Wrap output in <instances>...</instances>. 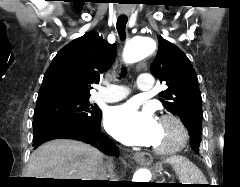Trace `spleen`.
<instances>
[{"label":"spleen","mask_w":240,"mask_h":187,"mask_svg":"<svg viewBox=\"0 0 240 187\" xmlns=\"http://www.w3.org/2000/svg\"><path fill=\"white\" fill-rule=\"evenodd\" d=\"M166 162L172 165L182 183L206 184V179L203 176V173L187 158L182 156H172L168 158Z\"/></svg>","instance_id":"spleen-1"}]
</instances>
